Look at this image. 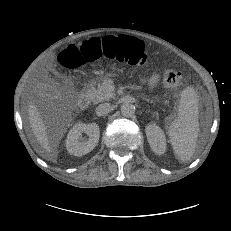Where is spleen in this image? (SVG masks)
Segmentation results:
<instances>
[{"mask_svg": "<svg viewBox=\"0 0 231 231\" xmlns=\"http://www.w3.org/2000/svg\"><path fill=\"white\" fill-rule=\"evenodd\" d=\"M178 111V118L169 125L167 134L175 156L186 162L195 153L199 134L198 98L193 88L182 91Z\"/></svg>", "mask_w": 231, "mask_h": 231, "instance_id": "3e777b00", "label": "spleen"}]
</instances>
